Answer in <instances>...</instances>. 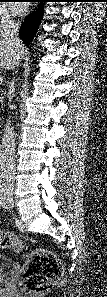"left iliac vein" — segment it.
<instances>
[{
	"instance_id": "obj_1",
	"label": "left iliac vein",
	"mask_w": 107,
	"mask_h": 297,
	"mask_svg": "<svg viewBox=\"0 0 107 297\" xmlns=\"http://www.w3.org/2000/svg\"><path fill=\"white\" fill-rule=\"evenodd\" d=\"M5 208H12L13 207V200L12 197L9 195L6 199V205L4 206Z\"/></svg>"
}]
</instances>
